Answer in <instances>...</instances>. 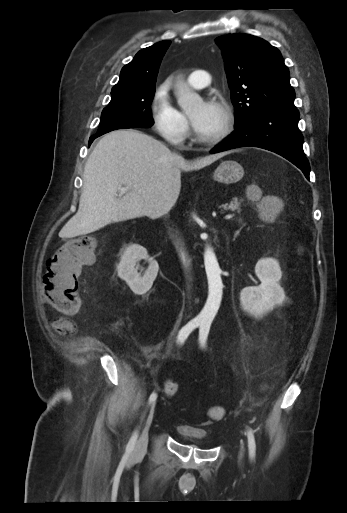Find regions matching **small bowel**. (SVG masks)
I'll list each match as a JSON object with an SVG mask.
<instances>
[{
	"mask_svg": "<svg viewBox=\"0 0 347 513\" xmlns=\"http://www.w3.org/2000/svg\"><path fill=\"white\" fill-rule=\"evenodd\" d=\"M53 324L55 330L64 337H71L75 332L74 324L66 318H57L54 320ZM144 351L151 359H157L162 356L163 344L158 343L145 347Z\"/></svg>",
	"mask_w": 347,
	"mask_h": 513,
	"instance_id": "obj_1",
	"label": "small bowel"
}]
</instances>
